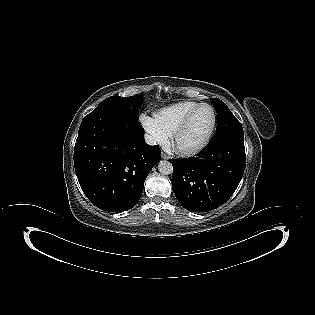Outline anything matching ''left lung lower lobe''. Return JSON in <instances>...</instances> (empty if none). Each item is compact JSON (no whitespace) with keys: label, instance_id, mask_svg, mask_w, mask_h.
Wrapping results in <instances>:
<instances>
[{"label":"left lung lower lobe","instance_id":"left-lung-lower-lobe-1","mask_svg":"<svg viewBox=\"0 0 315 315\" xmlns=\"http://www.w3.org/2000/svg\"><path fill=\"white\" fill-rule=\"evenodd\" d=\"M246 162L244 139L225 137L195 157L172 159V189L182 207L196 212L224 204L238 187Z\"/></svg>","mask_w":315,"mask_h":315}]
</instances>
